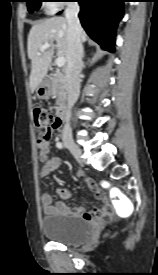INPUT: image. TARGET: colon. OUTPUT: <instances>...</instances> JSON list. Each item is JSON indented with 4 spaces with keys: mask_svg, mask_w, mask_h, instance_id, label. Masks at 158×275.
Returning <instances> with one entry per match:
<instances>
[{
    "mask_svg": "<svg viewBox=\"0 0 158 275\" xmlns=\"http://www.w3.org/2000/svg\"><path fill=\"white\" fill-rule=\"evenodd\" d=\"M34 124L37 132V142L47 143L52 132L58 128V118L43 105H35L33 108ZM114 200H118L119 196L114 195ZM113 215L111 208H106L102 213V218L109 219Z\"/></svg>",
    "mask_w": 158,
    "mask_h": 275,
    "instance_id": "5ec220e1",
    "label": "colon"
}]
</instances>
